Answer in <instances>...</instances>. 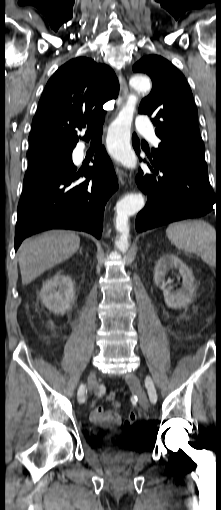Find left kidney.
<instances>
[{"instance_id":"obj_1","label":"left kidney","mask_w":221,"mask_h":510,"mask_svg":"<svg viewBox=\"0 0 221 510\" xmlns=\"http://www.w3.org/2000/svg\"><path fill=\"white\" fill-rule=\"evenodd\" d=\"M178 269L182 276V287L173 291L171 286H167L165 276L170 269ZM154 282L164 293V300L169 308L180 309L191 302L195 291V279L189 267L182 262L176 255H163L156 263L154 269Z\"/></svg>"}]
</instances>
